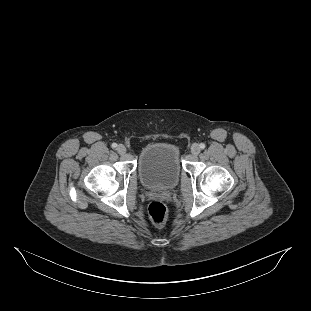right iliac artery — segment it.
<instances>
[{
  "label": "right iliac artery",
  "instance_id": "82829eb1",
  "mask_svg": "<svg viewBox=\"0 0 311 311\" xmlns=\"http://www.w3.org/2000/svg\"><path fill=\"white\" fill-rule=\"evenodd\" d=\"M111 146H112L113 149H116V148H117V144H116V143H112Z\"/></svg>",
  "mask_w": 311,
  "mask_h": 311
}]
</instances>
